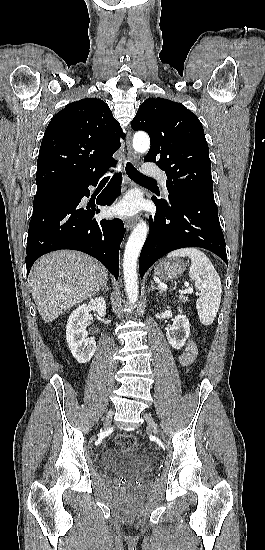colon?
Segmentation results:
<instances>
[{
  "mask_svg": "<svg viewBox=\"0 0 265 550\" xmlns=\"http://www.w3.org/2000/svg\"><path fill=\"white\" fill-rule=\"evenodd\" d=\"M116 445L121 449L136 450L139 447L138 439L133 434H121L116 437ZM124 491L126 494H131L130 487L125 486Z\"/></svg>",
  "mask_w": 265,
  "mask_h": 550,
  "instance_id": "colon-1",
  "label": "colon"
}]
</instances>
